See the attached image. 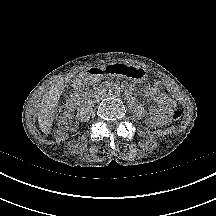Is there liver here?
I'll use <instances>...</instances> for the list:
<instances>
[{
  "label": "liver",
  "instance_id": "liver-1",
  "mask_svg": "<svg viewBox=\"0 0 216 216\" xmlns=\"http://www.w3.org/2000/svg\"><path fill=\"white\" fill-rule=\"evenodd\" d=\"M63 88L64 85L61 87L55 86L53 90L44 94L43 100L39 106L37 113L38 123L41 131L46 135L51 133L55 110L58 106V100L61 96Z\"/></svg>",
  "mask_w": 216,
  "mask_h": 216
}]
</instances>
